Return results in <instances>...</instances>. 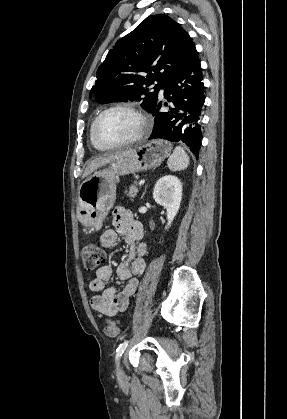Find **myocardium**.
I'll use <instances>...</instances> for the list:
<instances>
[{
	"label": "myocardium",
	"instance_id": "f54148a6",
	"mask_svg": "<svg viewBox=\"0 0 287 419\" xmlns=\"http://www.w3.org/2000/svg\"><path fill=\"white\" fill-rule=\"evenodd\" d=\"M117 109H124L135 114L140 121V128L138 132L132 138L126 141H122L118 143L104 142L98 137V134H97L98 124L104 115H106L110 111L117 110ZM148 128H149L148 119L138 107H136L134 104L129 103V102H119L105 108L96 116V118L93 121L91 131H92V136L97 144H99L100 146L106 149H114V148H120V147H124L128 145H132L140 141L144 137V135L147 133Z\"/></svg>",
	"mask_w": 287,
	"mask_h": 419
}]
</instances>
